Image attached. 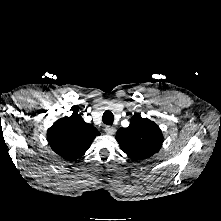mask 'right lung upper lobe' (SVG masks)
I'll list each match as a JSON object with an SVG mask.
<instances>
[{"label":"right lung upper lobe","instance_id":"1","mask_svg":"<svg viewBox=\"0 0 221 221\" xmlns=\"http://www.w3.org/2000/svg\"><path fill=\"white\" fill-rule=\"evenodd\" d=\"M97 135H100L99 131L77 112L57 120L47 132L53 151L68 160L81 157Z\"/></svg>","mask_w":221,"mask_h":221}]
</instances>
